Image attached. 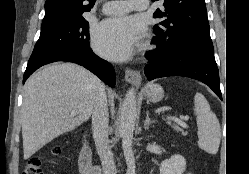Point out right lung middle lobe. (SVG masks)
<instances>
[{
    "instance_id": "obj_1",
    "label": "right lung middle lobe",
    "mask_w": 249,
    "mask_h": 174,
    "mask_svg": "<svg viewBox=\"0 0 249 174\" xmlns=\"http://www.w3.org/2000/svg\"><path fill=\"white\" fill-rule=\"evenodd\" d=\"M89 23L84 17L41 26L31 57L54 50L89 49Z\"/></svg>"
}]
</instances>
